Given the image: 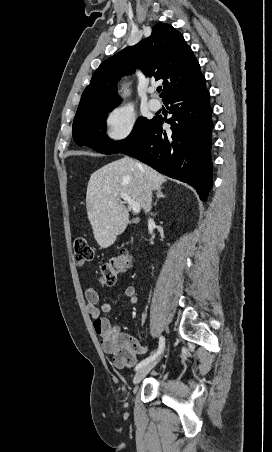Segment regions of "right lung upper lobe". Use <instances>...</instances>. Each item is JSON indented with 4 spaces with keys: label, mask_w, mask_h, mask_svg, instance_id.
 <instances>
[{
    "label": "right lung upper lobe",
    "mask_w": 272,
    "mask_h": 452,
    "mask_svg": "<svg viewBox=\"0 0 272 452\" xmlns=\"http://www.w3.org/2000/svg\"><path fill=\"white\" fill-rule=\"evenodd\" d=\"M136 67L146 76L163 80V100L202 76L200 65L183 35L169 24L158 23L150 37L126 47L97 68L82 94L76 115L96 108L115 107L120 102L119 79L133 73Z\"/></svg>",
    "instance_id": "right-lung-upper-lobe-1"
}]
</instances>
